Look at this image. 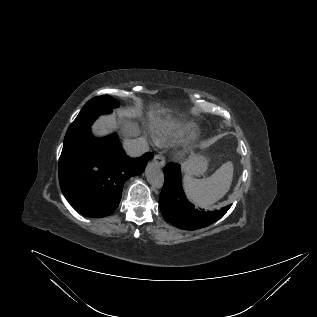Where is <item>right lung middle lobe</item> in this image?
I'll return each instance as SVG.
<instances>
[{
    "label": "right lung middle lobe",
    "mask_w": 317,
    "mask_h": 317,
    "mask_svg": "<svg viewBox=\"0 0 317 317\" xmlns=\"http://www.w3.org/2000/svg\"><path fill=\"white\" fill-rule=\"evenodd\" d=\"M116 107H119L118 101L109 95L97 96L89 100L70 125L63 146L70 144L80 134L88 130L100 114L110 113Z\"/></svg>",
    "instance_id": "obj_1"
}]
</instances>
